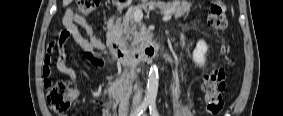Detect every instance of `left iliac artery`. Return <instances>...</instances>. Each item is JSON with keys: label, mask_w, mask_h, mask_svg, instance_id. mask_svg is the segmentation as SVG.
Here are the masks:
<instances>
[{"label": "left iliac artery", "mask_w": 283, "mask_h": 116, "mask_svg": "<svg viewBox=\"0 0 283 116\" xmlns=\"http://www.w3.org/2000/svg\"><path fill=\"white\" fill-rule=\"evenodd\" d=\"M149 112H150V115H151V116H159V113H158V111H157V109H156V104H155V102H151V103L149 104Z\"/></svg>", "instance_id": "left-iliac-artery-1"}]
</instances>
